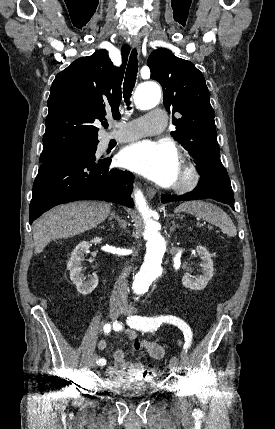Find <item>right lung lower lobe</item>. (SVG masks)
Listing matches in <instances>:
<instances>
[{"label": "right lung lower lobe", "mask_w": 275, "mask_h": 429, "mask_svg": "<svg viewBox=\"0 0 275 429\" xmlns=\"http://www.w3.org/2000/svg\"><path fill=\"white\" fill-rule=\"evenodd\" d=\"M110 158L69 160L41 165L30 203V224L52 207L77 200H105L133 207V175L109 169Z\"/></svg>", "instance_id": "obj_1"}]
</instances>
